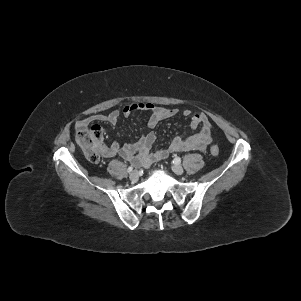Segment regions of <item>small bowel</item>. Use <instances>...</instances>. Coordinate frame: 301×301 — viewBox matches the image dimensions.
I'll return each instance as SVG.
<instances>
[{
  "label": "small bowel",
  "mask_w": 301,
  "mask_h": 301,
  "mask_svg": "<svg viewBox=\"0 0 301 301\" xmlns=\"http://www.w3.org/2000/svg\"><path fill=\"white\" fill-rule=\"evenodd\" d=\"M142 111L150 114L148 125L155 128L162 121L176 116L178 109L165 108L154 105L149 102H137L123 107L120 111L114 109L108 114H93L76 123V128H82L93 122H106L117 127L120 123L121 114L128 116L133 112ZM183 116L190 118V128L199 131L189 136H177L172 139L167 149L152 151V145L156 136L150 132L140 138L136 143L119 144L117 141L112 142L109 146L102 149V155L105 157L120 156L124 160L130 161L136 165L147 166L153 162L167 158L171 153L185 152L191 150L204 151L211 143V123L203 113H194L189 109L182 112Z\"/></svg>",
  "instance_id": "c3829d8e"
}]
</instances>
